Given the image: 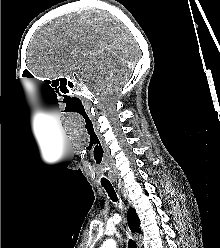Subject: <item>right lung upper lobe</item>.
I'll list each match as a JSON object with an SVG mask.
<instances>
[{
	"label": "right lung upper lobe",
	"mask_w": 220,
	"mask_h": 248,
	"mask_svg": "<svg viewBox=\"0 0 220 248\" xmlns=\"http://www.w3.org/2000/svg\"><path fill=\"white\" fill-rule=\"evenodd\" d=\"M128 220L131 231L140 233L141 229H140L139 217L133 208H129L128 210Z\"/></svg>",
	"instance_id": "obj_1"
}]
</instances>
